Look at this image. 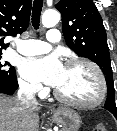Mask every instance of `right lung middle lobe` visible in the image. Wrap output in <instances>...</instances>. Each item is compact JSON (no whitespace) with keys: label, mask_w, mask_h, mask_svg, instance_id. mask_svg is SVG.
<instances>
[{"label":"right lung middle lobe","mask_w":117,"mask_h":131,"mask_svg":"<svg viewBox=\"0 0 117 131\" xmlns=\"http://www.w3.org/2000/svg\"><path fill=\"white\" fill-rule=\"evenodd\" d=\"M1 54L2 52H0V58ZM0 85H4L9 88L18 87L15 68L8 62H0Z\"/></svg>","instance_id":"obj_1"}]
</instances>
